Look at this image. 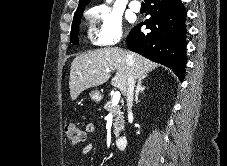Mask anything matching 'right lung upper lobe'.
Here are the masks:
<instances>
[{
    "instance_id": "1",
    "label": "right lung upper lobe",
    "mask_w": 227,
    "mask_h": 166,
    "mask_svg": "<svg viewBox=\"0 0 227 166\" xmlns=\"http://www.w3.org/2000/svg\"><path fill=\"white\" fill-rule=\"evenodd\" d=\"M89 2L90 0H79V6L77 9L84 8Z\"/></svg>"
}]
</instances>
